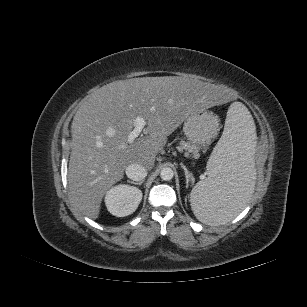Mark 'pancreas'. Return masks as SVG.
Listing matches in <instances>:
<instances>
[{
	"instance_id": "pancreas-1",
	"label": "pancreas",
	"mask_w": 307,
	"mask_h": 307,
	"mask_svg": "<svg viewBox=\"0 0 307 307\" xmlns=\"http://www.w3.org/2000/svg\"><path fill=\"white\" fill-rule=\"evenodd\" d=\"M180 148L188 151H195L196 148L191 145L189 142H186L185 140L180 141Z\"/></svg>"
}]
</instances>
